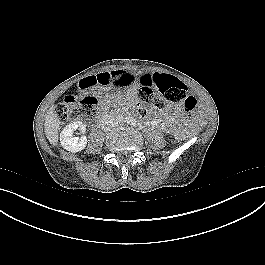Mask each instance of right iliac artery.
Returning a JSON list of instances; mask_svg holds the SVG:
<instances>
[{
    "label": "right iliac artery",
    "instance_id": "obj_1",
    "mask_svg": "<svg viewBox=\"0 0 265 265\" xmlns=\"http://www.w3.org/2000/svg\"><path fill=\"white\" fill-rule=\"evenodd\" d=\"M123 119H124L123 116H119V117H118V121H119V122H122Z\"/></svg>",
    "mask_w": 265,
    "mask_h": 265
}]
</instances>
